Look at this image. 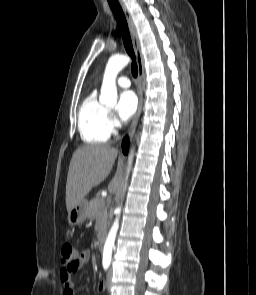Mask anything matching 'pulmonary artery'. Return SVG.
Masks as SVG:
<instances>
[{"label":"pulmonary artery","mask_w":256,"mask_h":295,"mask_svg":"<svg viewBox=\"0 0 256 295\" xmlns=\"http://www.w3.org/2000/svg\"><path fill=\"white\" fill-rule=\"evenodd\" d=\"M117 83L122 88H129L130 85H131V82H130L129 78L126 77V76L119 77L118 80H117Z\"/></svg>","instance_id":"obj_1"}]
</instances>
